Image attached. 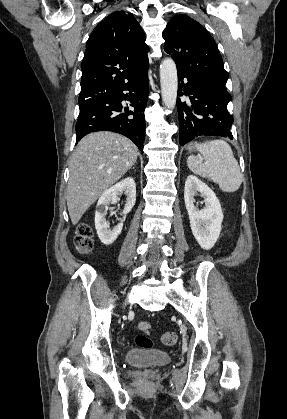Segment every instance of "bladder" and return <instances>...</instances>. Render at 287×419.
<instances>
[{
    "label": "bladder",
    "mask_w": 287,
    "mask_h": 419,
    "mask_svg": "<svg viewBox=\"0 0 287 419\" xmlns=\"http://www.w3.org/2000/svg\"><path fill=\"white\" fill-rule=\"evenodd\" d=\"M125 361L136 367H154L168 364L171 357L159 350L132 347L126 352Z\"/></svg>",
    "instance_id": "obj_1"
}]
</instances>
